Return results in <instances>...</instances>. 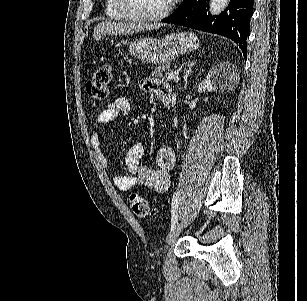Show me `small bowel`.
<instances>
[{
  "label": "small bowel",
  "instance_id": "small-bowel-1",
  "mask_svg": "<svg viewBox=\"0 0 307 301\" xmlns=\"http://www.w3.org/2000/svg\"><path fill=\"white\" fill-rule=\"evenodd\" d=\"M141 88L148 93L161 97L170 88L165 83L157 80H144ZM130 102L124 97L116 98L111 104L103 109L95 118L92 126L91 144L93 145L99 162L105 168L109 166V160L101 147V133L104 126L115 119L128 114ZM143 145L136 143L132 145L125 157V163L129 170L128 175L114 176L116 187L122 191L129 190L135 185L153 189L156 192H166L170 186L169 171L175 165V153L170 147H162L157 152V169H151L141 164Z\"/></svg>",
  "mask_w": 307,
  "mask_h": 301
}]
</instances>
